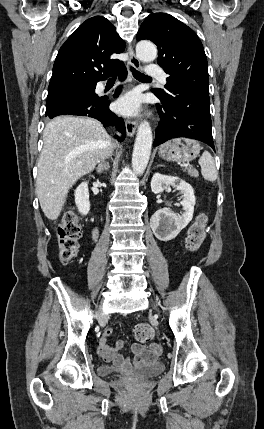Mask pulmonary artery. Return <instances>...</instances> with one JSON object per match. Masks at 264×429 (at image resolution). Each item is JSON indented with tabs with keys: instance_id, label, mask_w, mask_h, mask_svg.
<instances>
[{
	"instance_id": "pulmonary-artery-1",
	"label": "pulmonary artery",
	"mask_w": 264,
	"mask_h": 429,
	"mask_svg": "<svg viewBox=\"0 0 264 429\" xmlns=\"http://www.w3.org/2000/svg\"><path fill=\"white\" fill-rule=\"evenodd\" d=\"M147 75L157 78L162 84L166 83V74L161 67L155 64H150L147 67Z\"/></svg>"
}]
</instances>
